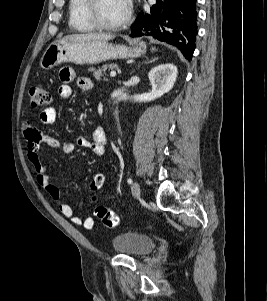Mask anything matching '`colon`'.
I'll use <instances>...</instances> for the list:
<instances>
[{"instance_id":"5ec220e1","label":"colon","mask_w":267,"mask_h":301,"mask_svg":"<svg viewBox=\"0 0 267 301\" xmlns=\"http://www.w3.org/2000/svg\"><path fill=\"white\" fill-rule=\"evenodd\" d=\"M29 94L30 104L33 109H39L50 103L51 96L49 92L40 85L31 86ZM102 182L103 176L101 174L96 175L91 183L92 189L97 190L101 186ZM96 214L107 228H115L119 223V218L116 213L107 207H97Z\"/></svg>"}]
</instances>
